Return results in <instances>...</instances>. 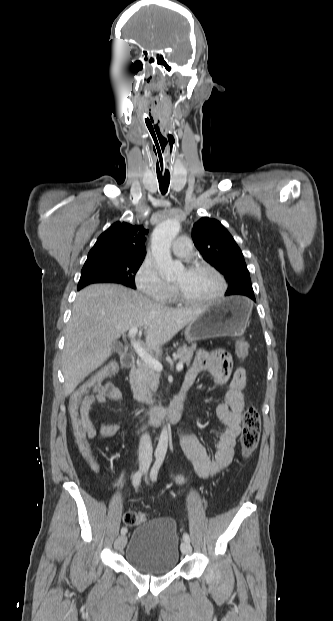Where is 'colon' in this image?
Masks as SVG:
<instances>
[{
  "label": "colon",
  "instance_id": "colon-1",
  "mask_svg": "<svg viewBox=\"0 0 333 621\" xmlns=\"http://www.w3.org/2000/svg\"><path fill=\"white\" fill-rule=\"evenodd\" d=\"M249 344L246 340L240 339L236 343V351L239 358L247 356ZM118 372V365L114 362L104 365L94 373L77 391L73 394L69 404V418L73 435L78 448L84 459L93 470H97L90 447L86 441L84 426L79 413L80 400L85 391L100 385L109 377ZM261 433V418L255 407H248L243 416V427L240 437L241 450L244 457H249L256 450ZM124 523L128 526H135L147 520V516L141 512L129 511L124 515Z\"/></svg>",
  "mask_w": 333,
  "mask_h": 621
}]
</instances>
